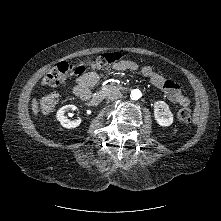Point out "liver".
I'll use <instances>...</instances> for the list:
<instances>
[{
	"label": "liver",
	"mask_w": 221,
	"mask_h": 221,
	"mask_svg": "<svg viewBox=\"0 0 221 221\" xmlns=\"http://www.w3.org/2000/svg\"><path fill=\"white\" fill-rule=\"evenodd\" d=\"M31 106H32V110H33V113L35 114V115H37V113H38V103H37V100H36V98H33L32 99V104H31Z\"/></svg>",
	"instance_id": "liver-1"
}]
</instances>
